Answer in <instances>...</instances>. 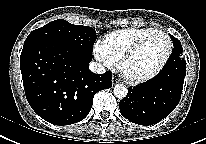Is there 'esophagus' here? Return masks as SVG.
I'll return each mask as SVG.
<instances>
[{"label":"esophagus","mask_w":206,"mask_h":144,"mask_svg":"<svg viewBox=\"0 0 206 144\" xmlns=\"http://www.w3.org/2000/svg\"><path fill=\"white\" fill-rule=\"evenodd\" d=\"M119 82H120V80L117 79L116 77H113V78H112V83H113V85L118 84Z\"/></svg>","instance_id":"esophagus-1"}]
</instances>
